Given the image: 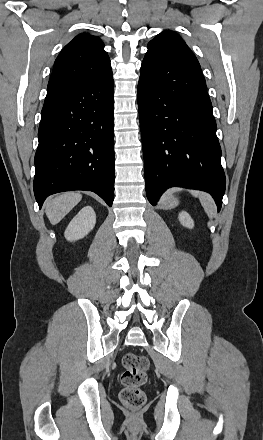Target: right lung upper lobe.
Here are the masks:
<instances>
[{
    "mask_svg": "<svg viewBox=\"0 0 263 440\" xmlns=\"http://www.w3.org/2000/svg\"><path fill=\"white\" fill-rule=\"evenodd\" d=\"M111 73L110 59L100 38L80 34L64 47L55 60L46 97Z\"/></svg>",
    "mask_w": 263,
    "mask_h": 440,
    "instance_id": "1",
    "label": "right lung upper lobe"
}]
</instances>
